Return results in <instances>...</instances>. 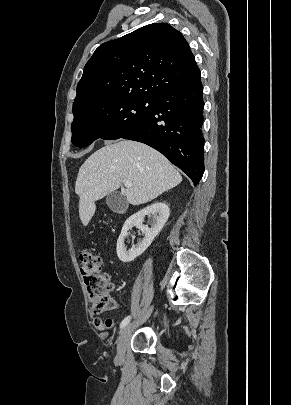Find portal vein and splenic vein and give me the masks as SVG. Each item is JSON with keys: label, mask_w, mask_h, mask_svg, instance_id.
Returning <instances> with one entry per match:
<instances>
[{"label": "portal vein and splenic vein", "mask_w": 291, "mask_h": 405, "mask_svg": "<svg viewBox=\"0 0 291 405\" xmlns=\"http://www.w3.org/2000/svg\"><path fill=\"white\" fill-rule=\"evenodd\" d=\"M124 186H125V187H131V186H132V182L129 181V180L124 181Z\"/></svg>", "instance_id": "18ae733b"}]
</instances>
